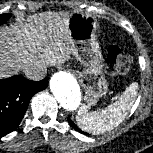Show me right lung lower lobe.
<instances>
[{
  "label": "right lung lower lobe",
  "mask_w": 153,
  "mask_h": 153,
  "mask_svg": "<svg viewBox=\"0 0 153 153\" xmlns=\"http://www.w3.org/2000/svg\"><path fill=\"white\" fill-rule=\"evenodd\" d=\"M47 85V78L41 81L27 80L21 76L0 79V137L18 127L31 98Z\"/></svg>",
  "instance_id": "1"
}]
</instances>
